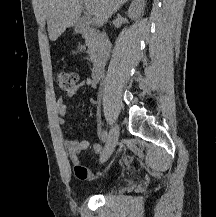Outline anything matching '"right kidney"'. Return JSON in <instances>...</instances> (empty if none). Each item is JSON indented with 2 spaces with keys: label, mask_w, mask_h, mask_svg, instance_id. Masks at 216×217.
Here are the masks:
<instances>
[{
  "label": "right kidney",
  "mask_w": 216,
  "mask_h": 217,
  "mask_svg": "<svg viewBox=\"0 0 216 217\" xmlns=\"http://www.w3.org/2000/svg\"><path fill=\"white\" fill-rule=\"evenodd\" d=\"M144 7L145 0H134L128 9V16L133 20H137L143 15Z\"/></svg>",
  "instance_id": "ca27d5eb"
}]
</instances>
